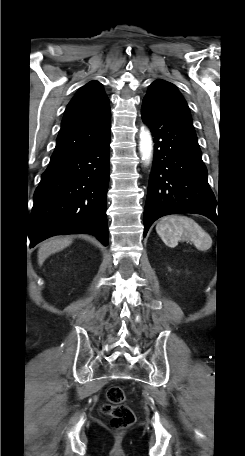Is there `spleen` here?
Listing matches in <instances>:
<instances>
[{
	"label": "spleen",
	"mask_w": 245,
	"mask_h": 456,
	"mask_svg": "<svg viewBox=\"0 0 245 456\" xmlns=\"http://www.w3.org/2000/svg\"><path fill=\"white\" fill-rule=\"evenodd\" d=\"M156 232L169 247H175L180 239L192 241L198 249H208L212 240L193 219L172 215L162 218L156 225Z\"/></svg>",
	"instance_id": "1"
}]
</instances>
